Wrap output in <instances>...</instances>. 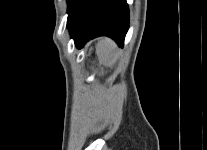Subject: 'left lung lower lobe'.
I'll return each mask as SVG.
<instances>
[{
    "label": "left lung lower lobe",
    "mask_w": 207,
    "mask_h": 150,
    "mask_svg": "<svg viewBox=\"0 0 207 150\" xmlns=\"http://www.w3.org/2000/svg\"><path fill=\"white\" fill-rule=\"evenodd\" d=\"M67 12V26L78 48L102 35L123 46L129 27L126 0H68Z\"/></svg>",
    "instance_id": "left-lung-lower-lobe-1"
}]
</instances>
